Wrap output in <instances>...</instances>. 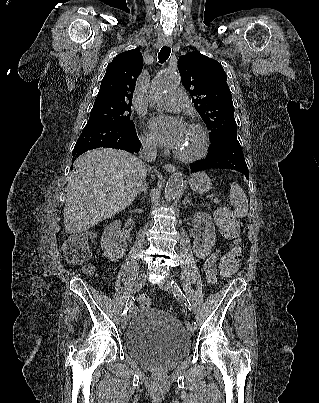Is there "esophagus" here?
<instances>
[{"label":"esophagus","mask_w":319,"mask_h":403,"mask_svg":"<svg viewBox=\"0 0 319 403\" xmlns=\"http://www.w3.org/2000/svg\"><path fill=\"white\" fill-rule=\"evenodd\" d=\"M172 44H173L172 40H167L164 42V45L166 46H172ZM164 169L167 172H174L176 170V167L172 164H165Z\"/></svg>","instance_id":"1"}]
</instances>
